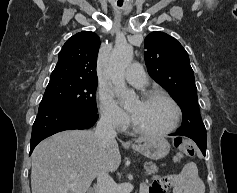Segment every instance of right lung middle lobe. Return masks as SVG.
Listing matches in <instances>:
<instances>
[{
	"label": "right lung middle lobe",
	"mask_w": 237,
	"mask_h": 193,
	"mask_svg": "<svg viewBox=\"0 0 237 193\" xmlns=\"http://www.w3.org/2000/svg\"><path fill=\"white\" fill-rule=\"evenodd\" d=\"M97 80L51 75L40 104L57 105L73 111L97 114Z\"/></svg>",
	"instance_id": "obj_1"
}]
</instances>
